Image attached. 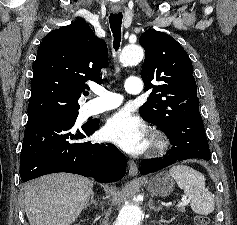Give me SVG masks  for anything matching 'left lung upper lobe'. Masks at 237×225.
Returning a JSON list of instances; mask_svg holds the SVG:
<instances>
[{
  "label": "left lung upper lobe",
  "mask_w": 237,
  "mask_h": 225,
  "mask_svg": "<svg viewBox=\"0 0 237 225\" xmlns=\"http://www.w3.org/2000/svg\"><path fill=\"white\" fill-rule=\"evenodd\" d=\"M140 44L145 49L141 74L144 91H152L139 111L147 122L165 132L199 110L192 63L183 47L166 33L149 29L141 35Z\"/></svg>",
  "instance_id": "1"
}]
</instances>
